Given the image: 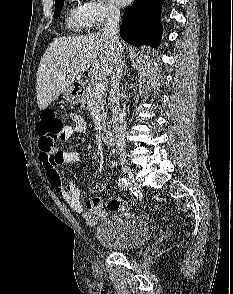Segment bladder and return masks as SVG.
I'll use <instances>...</instances> for the list:
<instances>
[{"instance_id": "obj_1", "label": "bladder", "mask_w": 233, "mask_h": 294, "mask_svg": "<svg viewBox=\"0 0 233 294\" xmlns=\"http://www.w3.org/2000/svg\"><path fill=\"white\" fill-rule=\"evenodd\" d=\"M97 241L116 251H133L151 237L146 221L133 212H119L108 216L95 228Z\"/></svg>"}]
</instances>
